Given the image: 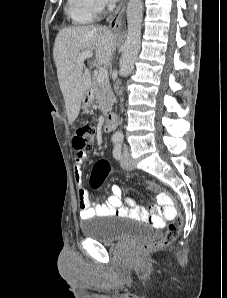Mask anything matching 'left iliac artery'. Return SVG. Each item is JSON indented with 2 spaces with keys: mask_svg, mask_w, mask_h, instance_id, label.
Masks as SVG:
<instances>
[{
  "mask_svg": "<svg viewBox=\"0 0 227 298\" xmlns=\"http://www.w3.org/2000/svg\"><path fill=\"white\" fill-rule=\"evenodd\" d=\"M113 156L117 159H121V142L117 143L113 149Z\"/></svg>",
  "mask_w": 227,
  "mask_h": 298,
  "instance_id": "44dca946",
  "label": "left iliac artery"
}]
</instances>
